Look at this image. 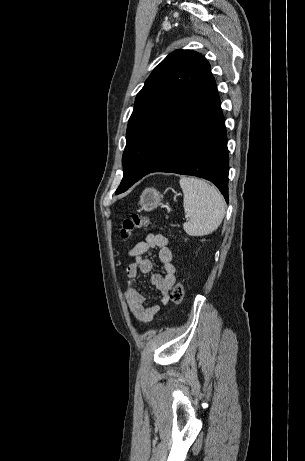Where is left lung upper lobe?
<instances>
[{
	"instance_id": "5c2ea615",
	"label": "left lung upper lobe",
	"mask_w": 305,
	"mask_h": 461,
	"mask_svg": "<svg viewBox=\"0 0 305 461\" xmlns=\"http://www.w3.org/2000/svg\"><path fill=\"white\" fill-rule=\"evenodd\" d=\"M210 70L207 60L192 50H176L151 73L137 94L122 157L123 179L116 194L126 191L150 167L157 134Z\"/></svg>"
}]
</instances>
